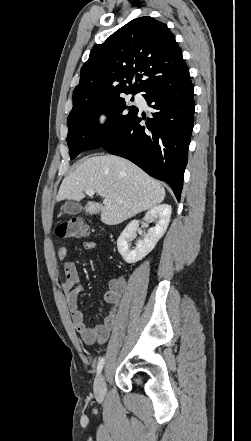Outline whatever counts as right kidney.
<instances>
[{
  "label": "right kidney",
  "mask_w": 251,
  "mask_h": 441,
  "mask_svg": "<svg viewBox=\"0 0 251 441\" xmlns=\"http://www.w3.org/2000/svg\"><path fill=\"white\" fill-rule=\"evenodd\" d=\"M172 208L168 204H161L151 208L143 217V220L150 221L158 217L155 227L150 228L143 240L136 243V247L130 250L129 243L135 237V232L139 226V220L131 221L117 240V248L124 261L127 263H135L142 260L149 254L160 238L164 235L170 222Z\"/></svg>",
  "instance_id": "1"
}]
</instances>
